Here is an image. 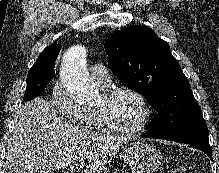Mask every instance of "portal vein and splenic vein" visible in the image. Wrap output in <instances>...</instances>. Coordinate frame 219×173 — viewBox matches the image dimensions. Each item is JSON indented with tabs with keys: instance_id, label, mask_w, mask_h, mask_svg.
Masks as SVG:
<instances>
[{
	"instance_id": "portal-vein-and-splenic-vein-1",
	"label": "portal vein and splenic vein",
	"mask_w": 219,
	"mask_h": 173,
	"mask_svg": "<svg viewBox=\"0 0 219 173\" xmlns=\"http://www.w3.org/2000/svg\"><path fill=\"white\" fill-rule=\"evenodd\" d=\"M73 169H74V167L72 166V167L70 168V170L73 171Z\"/></svg>"
}]
</instances>
